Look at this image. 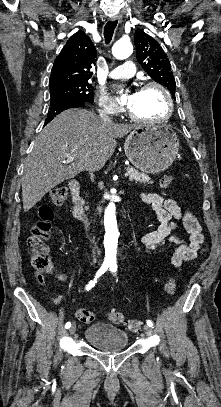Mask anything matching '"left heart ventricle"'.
I'll list each match as a JSON object with an SVG mask.
<instances>
[{
    "label": "left heart ventricle",
    "instance_id": "1",
    "mask_svg": "<svg viewBox=\"0 0 221 407\" xmlns=\"http://www.w3.org/2000/svg\"><path fill=\"white\" fill-rule=\"evenodd\" d=\"M127 106L139 117L158 119L166 113V98L157 88L131 92L127 97Z\"/></svg>",
    "mask_w": 221,
    "mask_h": 407
}]
</instances>
